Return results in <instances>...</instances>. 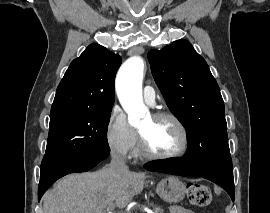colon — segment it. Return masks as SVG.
<instances>
[{
    "label": "colon",
    "instance_id": "1",
    "mask_svg": "<svg viewBox=\"0 0 270 213\" xmlns=\"http://www.w3.org/2000/svg\"><path fill=\"white\" fill-rule=\"evenodd\" d=\"M187 196L191 205L195 207H206L212 200L210 189L205 185L196 183L187 185Z\"/></svg>",
    "mask_w": 270,
    "mask_h": 213
}]
</instances>
